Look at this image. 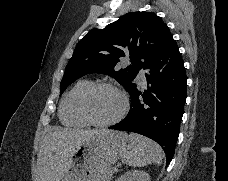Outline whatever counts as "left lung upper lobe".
Masks as SVG:
<instances>
[{
    "label": "left lung upper lobe",
    "instance_id": "obj_1",
    "mask_svg": "<svg viewBox=\"0 0 228 181\" xmlns=\"http://www.w3.org/2000/svg\"><path fill=\"white\" fill-rule=\"evenodd\" d=\"M171 37L167 25L150 12H130L103 29H92L76 46L60 93L89 73L107 74L129 92L139 70ZM120 57H129L131 65L120 68Z\"/></svg>",
    "mask_w": 228,
    "mask_h": 181
}]
</instances>
